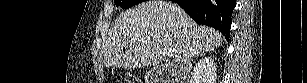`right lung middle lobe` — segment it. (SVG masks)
<instances>
[{
	"instance_id": "obj_1",
	"label": "right lung middle lobe",
	"mask_w": 307,
	"mask_h": 83,
	"mask_svg": "<svg viewBox=\"0 0 307 83\" xmlns=\"http://www.w3.org/2000/svg\"><path fill=\"white\" fill-rule=\"evenodd\" d=\"M144 0H115L116 6H120L121 8H129L136 4L143 2Z\"/></svg>"
}]
</instances>
